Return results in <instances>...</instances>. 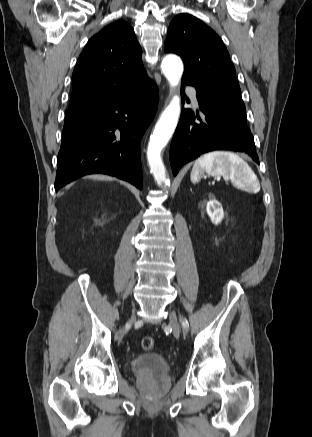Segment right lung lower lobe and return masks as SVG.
Here are the masks:
<instances>
[{
    "mask_svg": "<svg viewBox=\"0 0 312 437\" xmlns=\"http://www.w3.org/2000/svg\"><path fill=\"white\" fill-rule=\"evenodd\" d=\"M157 103V86L145 74L121 95L64 124L56 192L94 173L112 175L142 189L140 141Z\"/></svg>",
    "mask_w": 312,
    "mask_h": 437,
    "instance_id": "98d812e1",
    "label": "right lung lower lobe"
}]
</instances>
